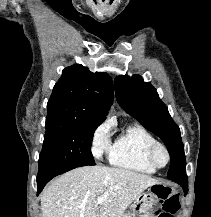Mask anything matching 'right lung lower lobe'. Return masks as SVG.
Returning a JSON list of instances; mask_svg holds the SVG:
<instances>
[{
	"instance_id": "obj_1",
	"label": "right lung lower lobe",
	"mask_w": 211,
	"mask_h": 217,
	"mask_svg": "<svg viewBox=\"0 0 211 217\" xmlns=\"http://www.w3.org/2000/svg\"><path fill=\"white\" fill-rule=\"evenodd\" d=\"M76 168L75 166H68V167H58V168H52L45 170L43 172H38L37 175V187H38V193L41 192V190L44 188V186L55 176L63 174L69 170H72Z\"/></svg>"
}]
</instances>
